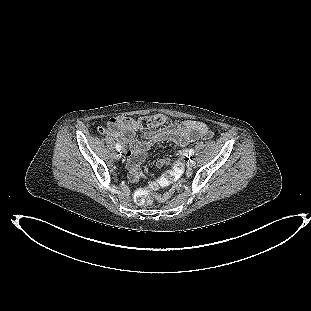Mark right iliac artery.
I'll list each match as a JSON object with an SVG mask.
<instances>
[{"label": "right iliac artery", "instance_id": "82829eb1", "mask_svg": "<svg viewBox=\"0 0 311 311\" xmlns=\"http://www.w3.org/2000/svg\"><path fill=\"white\" fill-rule=\"evenodd\" d=\"M116 149H117L118 151L121 150V145H120L119 143L116 144Z\"/></svg>", "mask_w": 311, "mask_h": 311}]
</instances>
